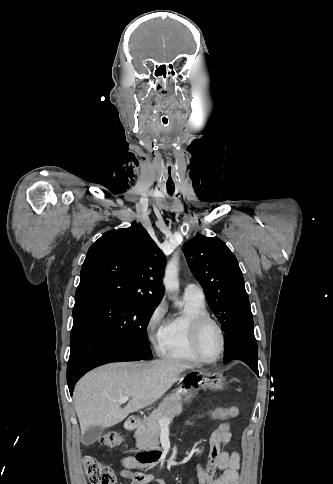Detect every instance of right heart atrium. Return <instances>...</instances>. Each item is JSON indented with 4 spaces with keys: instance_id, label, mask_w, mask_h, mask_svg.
<instances>
[{
    "instance_id": "1",
    "label": "right heart atrium",
    "mask_w": 333,
    "mask_h": 484,
    "mask_svg": "<svg viewBox=\"0 0 333 484\" xmlns=\"http://www.w3.org/2000/svg\"><path fill=\"white\" fill-rule=\"evenodd\" d=\"M164 313L165 305L163 302H161L151 311L145 324L147 338L156 348H158L160 344Z\"/></svg>"
}]
</instances>
